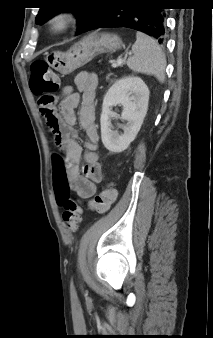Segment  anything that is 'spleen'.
<instances>
[{
  "label": "spleen",
  "mask_w": 213,
  "mask_h": 338,
  "mask_svg": "<svg viewBox=\"0 0 213 338\" xmlns=\"http://www.w3.org/2000/svg\"><path fill=\"white\" fill-rule=\"evenodd\" d=\"M133 56L127 66L134 72L155 76L159 82L165 79L166 58L158 43L148 35L137 32L132 46Z\"/></svg>",
  "instance_id": "1"
}]
</instances>
